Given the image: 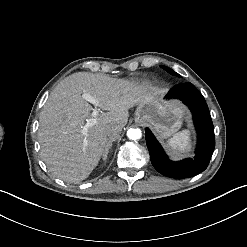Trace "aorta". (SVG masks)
<instances>
[{"mask_svg":"<svg viewBox=\"0 0 247 247\" xmlns=\"http://www.w3.org/2000/svg\"><path fill=\"white\" fill-rule=\"evenodd\" d=\"M127 136L131 140H138L141 138L142 133H141V130L139 128H130L127 131Z\"/></svg>","mask_w":247,"mask_h":247,"instance_id":"aorta-1","label":"aorta"}]
</instances>
